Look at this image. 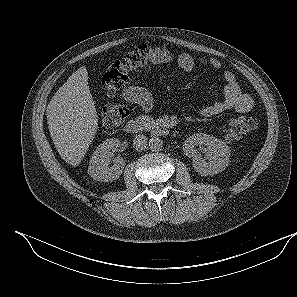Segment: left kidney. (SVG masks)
I'll use <instances>...</instances> for the list:
<instances>
[{
    "mask_svg": "<svg viewBox=\"0 0 297 297\" xmlns=\"http://www.w3.org/2000/svg\"><path fill=\"white\" fill-rule=\"evenodd\" d=\"M206 146V156L202 158L195 146ZM186 156L192 158L193 167L202 176L222 172L229 163L230 148L225 142L208 134L197 133L188 137L183 144Z\"/></svg>",
    "mask_w": 297,
    "mask_h": 297,
    "instance_id": "left-kidney-1",
    "label": "left kidney"
}]
</instances>
